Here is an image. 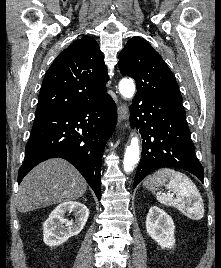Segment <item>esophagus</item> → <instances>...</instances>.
<instances>
[{
	"label": "esophagus",
	"mask_w": 221,
	"mask_h": 268,
	"mask_svg": "<svg viewBox=\"0 0 221 268\" xmlns=\"http://www.w3.org/2000/svg\"><path fill=\"white\" fill-rule=\"evenodd\" d=\"M120 118L121 120H125L128 114V109L126 104H121L119 108Z\"/></svg>",
	"instance_id": "34e87169"
}]
</instances>
